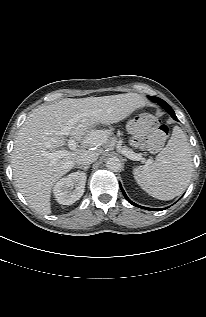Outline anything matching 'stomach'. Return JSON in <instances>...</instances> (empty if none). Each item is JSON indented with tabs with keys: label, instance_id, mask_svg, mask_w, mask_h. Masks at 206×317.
Listing matches in <instances>:
<instances>
[{
	"label": "stomach",
	"instance_id": "0dacf381",
	"mask_svg": "<svg viewBox=\"0 0 206 317\" xmlns=\"http://www.w3.org/2000/svg\"><path fill=\"white\" fill-rule=\"evenodd\" d=\"M126 129L130 134L127 142L131 148L145 150L148 148L146 138L149 134V129L146 125H142L137 120L135 115L131 120L128 121ZM114 130L111 125L103 122H94L89 125L88 129L85 130L81 136V141L84 146L93 148L98 144H104L112 139Z\"/></svg>",
	"mask_w": 206,
	"mask_h": 317
}]
</instances>
